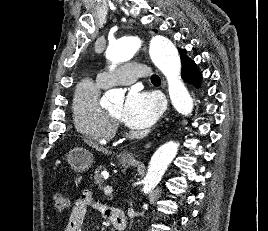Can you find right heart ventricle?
I'll return each instance as SVG.
<instances>
[{"label":"right heart ventricle","mask_w":268,"mask_h":231,"mask_svg":"<svg viewBox=\"0 0 268 231\" xmlns=\"http://www.w3.org/2000/svg\"><path fill=\"white\" fill-rule=\"evenodd\" d=\"M105 88L98 80L85 79L78 84L72 101L76 130L85 138L101 144L109 143L116 132L107 111L99 103L101 91Z\"/></svg>","instance_id":"obj_1"}]
</instances>
